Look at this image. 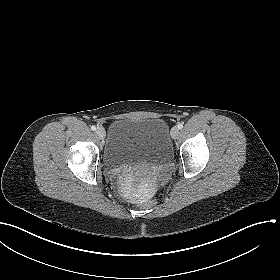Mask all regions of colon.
<instances>
[{
  "label": "colon",
  "instance_id": "5ec220e1",
  "mask_svg": "<svg viewBox=\"0 0 280 280\" xmlns=\"http://www.w3.org/2000/svg\"><path fill=\"white\" fill-rule=\"evenodd\" d=\"M154 204H155V199H150L145 203L146 206H151V205H154Z\"/></svg>",
  "mask_w": 280,
  "mask_h": 280
}]
</instances>
